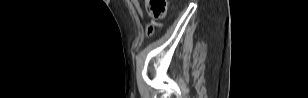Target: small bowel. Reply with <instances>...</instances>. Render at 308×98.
Masks as SVG:
<instances>
[{
	"label": "small bowel",
	"mask_w": 308,
	"mask_h": 98,
	"mask_svg": "<svg viewBox=\"0 0 308 98\" xmlns=\"http://www.w3.org/2000/svg\"><path fill=\"white\" fill-rule=\"evenodd\" d=\"M132 2H133V4H134V6L136 7V9H137L138 13L140 14V16H141V17H144V13H143V10H142L140 1H138V0H133ZM148 33H149V34H152V33H153V30H152V31H149V30H148Z\"/></svg>",
	"instance_id": "c3829d8e"
}]
</instances>
